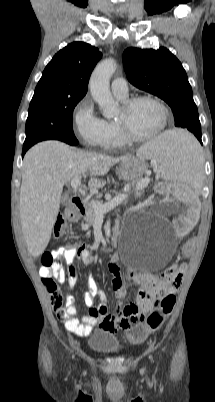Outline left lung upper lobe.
<instances>
[{
	"instance_id": "5c2ea615",
	"label": "left lung upper lobe",
	"mask_w": 215,
	"mask_h": 402,
	"mask_svg": "<svg viewBox=\"0 0 215 402\" xmlns=\"http://www.w3.org/2000/svg\"><path fill=\"white\" fill-rule=\"evenodd\" d=\"M123 64L131 84L169 104L175 126L201 137L198 110L186 72L168 49L128 48L123 53Z\"/></svg>"
}]
</instances>
